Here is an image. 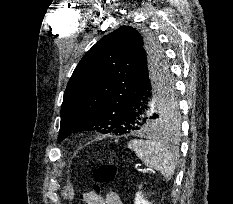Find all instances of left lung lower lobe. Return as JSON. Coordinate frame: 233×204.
<instances>
[{
  "label": "left lung lower lobe",
  "instance_id": "left-lung-lower-lobe-1",
  "mask_svg": "<svg viewBox=\"0 0 233 204\" xmlns=\"http://www.w3.org/2000/svg\"><path fill=\"white\" fill-rule=\"evenodd\" d=\"M172 82L170 69L162 55L142 53L131 80L120 100L115 124L124 134L133 131L159 132L154 112L157 100Z\"/></svg>",
  "mask_w": 233,
  "mask_h": 204
}]
</instances>
